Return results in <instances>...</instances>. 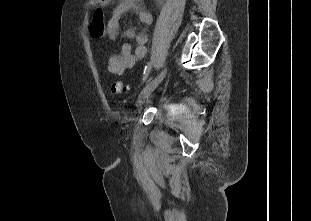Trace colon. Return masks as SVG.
<instances>
[{
    "mask_svg": "<svg viewBox=\"0 0 311 221\" xmlns=\"http://www.w3.org/2000/svg\"><path fill=\"white\" fill-rule=\"evenodd\" d=\"M90 33L95 38H102L108 31V25L105 22L104 14L98 10L93 15V21L89 26ZM129 90L128 86L122 82L117 81L112 84L111 91L113 94H125Z\"/></svg>",
    "mask_w": 311,
    "mask_h": 221,
    "instance_id": "obj_1",
    "label": "colon"
}]
</instances>
